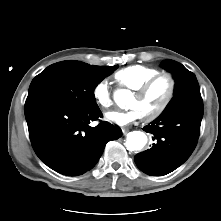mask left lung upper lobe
Returning <instances> with one entry per match:
<instances>
[{"label":"left lung upper lobe","instance_id":"5c2ea615","mask_svg":"<svg viewBox=\"0 0 221 221\" xmlns=\"http://www.w3.org/2000/svg\"><path fill=\"white\" fill-rule=\"evenodd\" d=\"M161 66L173 73L175 78L174 97L163 113L188 103L190 99L201 97L199 84L195 75L187 70L182 64L173 60H165L162 62Z\"/></svg>","mask_w":221,"mask_h":221}]
</instances>
